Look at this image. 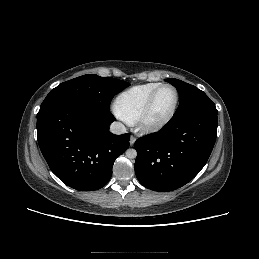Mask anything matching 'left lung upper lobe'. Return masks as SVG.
I'll return each mask as SVG.
<instances>
[{
	"label": "left lung upper lobe",
	"mask_w": 259,
	"mask_h": 259,
	"mask_svg": "<svg viewBox=\"0 0 259 259\" xmlns=\"http://www.w3.org/2000/svg\"><path fill=\"white\" fill-rule=\"evenodd\" d=\"M178 91L180 103L175 114L190 111L193 109H208L217 111L215 104L210 98L197 87L178 79H166Z\"/></svg>",
	"instance_id": "left-lung-upper-lobe-1"
}]
</instances>
